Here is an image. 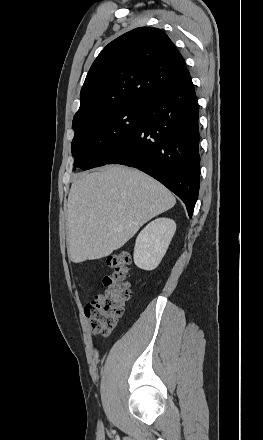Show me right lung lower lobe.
I'll use <instances>...</instances> for the list:
<instances>
[{
  "label": "right lung lower lobe",
  "mask_w": 263,
  "mask_h": 440,
  "mask_svg": "<svg viewBox=\"0 0 263 440\" xmlns=\"http://www.w3.org/2000/svg\"><path fill=\"white\" fill-rule=\"evenodd\" d=\"M139 126L107 164L135 167L160 181L192 217L199 192L198 102L190 75L146 102Z\"/></svg>",
  "instance_id": "1"
}]
</instances>
